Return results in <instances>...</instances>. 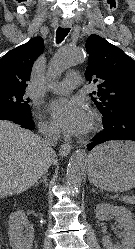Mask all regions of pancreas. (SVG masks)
Instances as JSON below:
<instances>
[{
    "label": "pancreas",
    "mask_w": 135,
    "mask_h": 249,
    "mask_svg": "<svg viewBox=\"0 0 135 249\" xmlns=\"http://www.w3.org/2000/svg\"><path fill=\"white\" fill-rule=\"evenodd\" d=\"M120 200L128 204H135V197L124 196V197H121Z\"/></svg>",
    "instance_id": "obj_1"
}]
</instances>
